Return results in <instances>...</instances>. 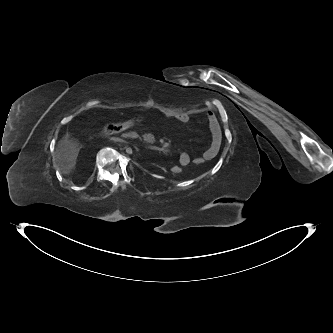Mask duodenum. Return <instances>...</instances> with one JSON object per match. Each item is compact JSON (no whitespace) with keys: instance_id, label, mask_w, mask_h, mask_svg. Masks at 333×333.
Segmentation results:
<instances>
[{"instance_id":"duodenum-1","label":"duodenum","mask_w":333,"mask_h":333,"mask_svg":"<svg viewBox=\"0 0 333 333\" xmlns=\"http://www.w3.org/2000/svg\"><path fill=\"white\" fill-rule=\"evenodd\" d=\"M125 138H132V137H134L135 139L138 137L135 133L134 134H132V133H125L124 135H123ZM149 148L151 149V150H153V151H157V152H161V151H163L164 149L161 147V146H159V145H155V144H153V145H150L149 146Z\"/></svg>"}]
</instances>
